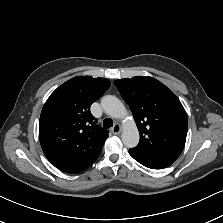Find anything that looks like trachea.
Here are the masks:
<instances>
[{
  "mask_svg": "<svg viewBox=\"0 0 223 223\" xmlns=\"http://www.w3.org/2000/svg\"><path fill=\"white\" fill-rule=\"evenodd\" d=\"M103 126L106 128V129H109L113 126V121L110 119V118H106L104 121H103Z\"/></svg>",
  "mask_w": 223,
  "mask_h": 223,
  "instance_id": "trachea-1",
  "label": "trachea"
}]
</instances>
